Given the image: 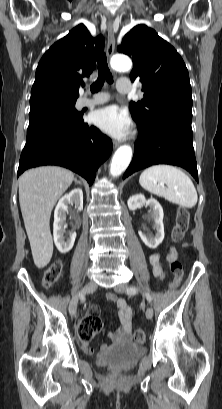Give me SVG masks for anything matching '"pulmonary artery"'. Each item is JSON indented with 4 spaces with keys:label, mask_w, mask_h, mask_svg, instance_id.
<instances>
[{
    "label": "pulmonary artery",
    "mask_w": 222,
    "mask_h": 409,
    "mask_svg": "<svg viewBox=\"0 0 222 409\" xmlns=\"http://www.w3.org/2000/svg\"><path fill=\"white\" fill-rule=\"evenodd\" d=\"M117 91L122 94L130 93V86L121 82L117 83ZM110 97L106 93L95 94L92 97H82L78 101L80 107L94 106L109 101Z\"/></svg>",
    "instance_id": "pulmonary-artery-1"
}]
</instances>
